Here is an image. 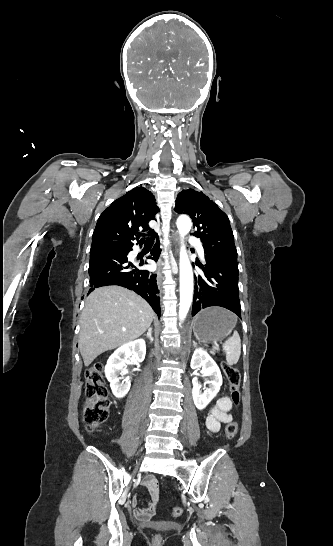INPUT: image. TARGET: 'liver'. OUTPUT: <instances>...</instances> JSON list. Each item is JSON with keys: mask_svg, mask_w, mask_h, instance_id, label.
Returning <instances> with one entry per match:
<instances>
[{"mask_svg": "<svg viewBox=\"0 0 333 546\" xmlns=\"http://www.w3.org/2000/svg\"><path fill=\"white\" fill-rule=\"evenodd\" d=\"M155 313L139 295L120 286L95 289L80 317L79 349L85 366L105 351L139 338Z\"/></svg>", "mask_w": 333, "mask_h": 546, "instance_id": "1", "label": "liver"}]
</instances>
